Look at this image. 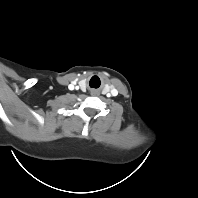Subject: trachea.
I'll use <instances>...</instances> for the list:
<instances>
[{
	"label": "trachea",
	"instance_id": "3493384b",
	"mask_svg": "<svg viewBox=\"0 0 198 198\" xmlns=\"http://www.w3.org/2000/svg\"><path fill=\"white\" fill-rule=\"evenodd\" d=\"M95 79H98V77H96V76L92 77V79L90 80V84L93 83V81H94Z\"/></svg>",
	"mask_w": 198,
	"mask_h": 198
}]
</instances>
